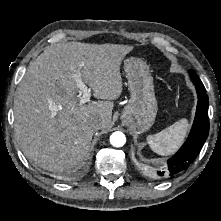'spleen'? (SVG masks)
Listing matches in <instances>:
<instances>
[{"mask_svg":"<svg viewBox=\"0 0 221 221\" xmlns=\"http://www.w3.org/2000/svg\"><path fill=\"white\" fill-rule=\"evenodd\" d=\"M187 119H181L162 131L149 135L147 142L150 148L159 155H170L178 149L186 137L188 130Z\"/></svg>","mask_w":221,"mask_h":221,"instance_id":"spleen-1","label":"spleen"}]
</instances>
